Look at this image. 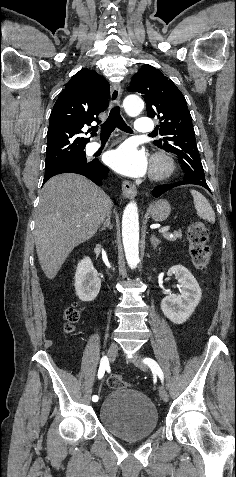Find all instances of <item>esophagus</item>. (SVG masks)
Returning <instances> with one entry per match:
<instances>
[{
  "mask_svg": "<svg viewBox=\"0 0 236 477\" xmlns=\"http://www.w3.org/2000/svg\"><path fill=\"white\" fill-rule=\"evenodd\" d=\"M121 86L118 83H114L111 86V93H110V104L112 106L118 105L120 102L121 97ZM122 193L125 198L131 199L136 196L137 189L134 184L129 181H123L122 183Z\"/></svg>",
  "mask_w": 236,
  "mask_h": 477,
  "instance_id": "obj_1",
  "label": "esophagus"
}]
</instances>
